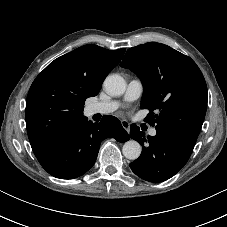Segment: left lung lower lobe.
I'll list each match as a JSON object with an SVG mask.
<instances>
[{
    "label": "left lung lower lobe",
    "instance_id": "0a47b994",
    "mask_svg": "<svg viewBox=\"0 0 227 227\" xmlns=\"http://www.w3.org/2000/svg\"><path fill=\"white\" fill-rule=\"evenodd\" d=\"M156 130V136L146 137L137 126L130 128V137L142 146L141 156L130 167L137 176L149 182H162L178 173L187 163L195 145L170 131Z\"/></svg>",
    "mask_w": 227,
    "mask_h": 227
}]
</instances>
